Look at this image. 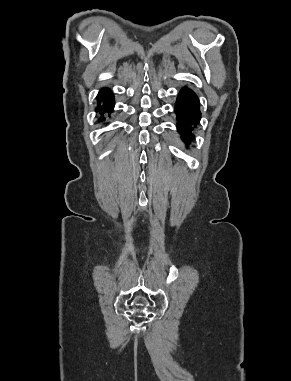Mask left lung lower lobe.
Returning <instances> with one entry per match:
<instances>
[{
	"label": "left lung lower lobe",
	"instance_id": "0a47b994",
	"mask_svg": "<svg viewBox=\"0 0 291 381\" xmlns=\"http://www.w3.org/2000/svg\"><path fill=\"white\" fill-rule=\"evenodd\" d=\"M175 112L178 119V130L182 134L183 140L188 142L193 138L192 125L198 124L201 118L199 101L192 90L183 88L180 91L175 105Z\"/></svg>",
	"mask_w": 291,
	"mask_h": 381
}]
</instances>
